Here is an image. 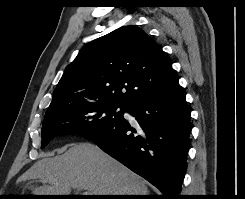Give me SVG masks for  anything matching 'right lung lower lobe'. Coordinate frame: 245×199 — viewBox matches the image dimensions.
Wrapping results in <instances>:
<instances>
[{
	"instance_id": "1",
	"label": "right lung lower lobe",
	"mask_w": 245,
	"mask_h": 199,
	"mask_svg": "<svg viewBox=\"0 0 245 199\" xmlns=\"http://www.w3.org/2000/svg\"><path fill=\"white\" fill-rule=\"evenodd\" d=\"M124 117L88 140L145 178L162 199H180L189 149L190 110L179 83L168 91L126 106Z\"/></svg>"
}]
</instances>
